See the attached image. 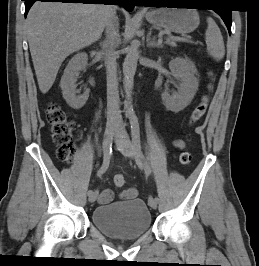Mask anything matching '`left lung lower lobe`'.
Wrapping results in <instances>:
<instances>
[{
    "label": "left lung lower lobe",
    "mask_w": 259,
    "mask_h": 266,
    "mask_svg": "<svg viewBox=\"0 0 259 266\" xmlns=\"http://www.w3.org/2000/svg\"><path fill=\"white\" fill-rule=\"evenodd\" d=\"M184 5V4H192L191 0H144L143 6L148 7V5L152 7H160V5L165 6H173V5ZM222 18L224 23L226 24L229 34H231V22L232 16L231 11L229 9H214Z\"/></svg>",
    "instance_id": "1"
}]
</instances>
